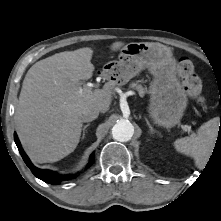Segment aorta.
Here are the masks:
<instances>
[{"instance_id":"1","label":"aorta","mask_w":221,"mask_h":221,"mask_svg":"<svg viewBox=\"0 0 221 221\" xmlns=\"http://www.w3.org/2000/svg\"><path fill=\"white\" fill-rule=\"evenodd\" d=\"M134 134V127L128 120H120L112 128V136L120 142L129 141Z\"/></svg>"}]
</instances>
